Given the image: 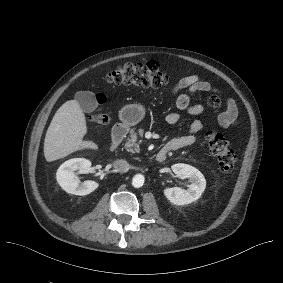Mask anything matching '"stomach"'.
I'll return each instance as SVG.
<instances>
[{
    "label": "stomach",
    "mask_w": 283,
    "mask_h": 283,
    "mask_svg": "<svg viewBox=\"0 0 283 283\" xmlns=\"http://www.w3.org/2000/svg\"><path fill=\"white\" fill-rule=\"evenodd\" d=\"M118 117L124 125L131 127L141 122L145 113L138 104H128L124 106L123 111H119Z\"/></svg>",
    "instance_id": "1"
}]
</instances>
